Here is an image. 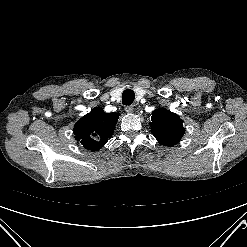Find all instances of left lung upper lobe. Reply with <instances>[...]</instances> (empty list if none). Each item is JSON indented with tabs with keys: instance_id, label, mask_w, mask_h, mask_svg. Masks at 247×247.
<instances>
[{
	"instance_id": "1",
	"label": "left lung upper lobe",
	"mask_w": 247,
	"mask_h": 247,
	"mask_svg": "<svg viewBox=\"0 0 247 247\" xmlns=\"http://www.w3.org/2000/svg\"><path fill=\"white\" fill-rule=\"evenodd\" d=\"M151 121V132L162 145L177 144L185 133L182 119L165 108L154 110Z\"/></svg>"
}]
</instances>
